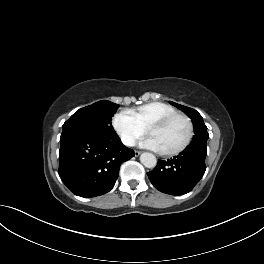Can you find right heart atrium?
<instances>
[{"mask_svg":"<svg viewBox=\"0 0 264 264\" xmlns=\"http://www.w3.org/2000/svg\"><path fill=\"white\" fill-rule=\"evenodd\" d=\"M112 124L120 140L126 146H133L146 133V130L139 126L126 110L116 114Z\"/></svg>","mask_w":264,"mask_h":264,"instance_id":"obj_1","label":"right heart atrium"}]
</instances>
